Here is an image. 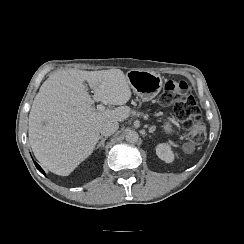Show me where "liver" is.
<instances>
[{
    "instance_id": "liver-1",
    "label": "liver",
    "mask_w": 244,
    "mask_h": 244,
    "mask_svg": "<svg viewBox=\"0 0 244 244\" xmlns=\"http://www.w3.org/2000/svg\"><path fill=\"white\" fill-rule=\"evenodd\" d=\"M114 109H98L93 96ZM129 81L120 69L61 70L44 81L29 114V142L36 159L55 174L67 176L94 151L99 126L125 122L131 108Z\"/></svg>"
}]
</instances>
